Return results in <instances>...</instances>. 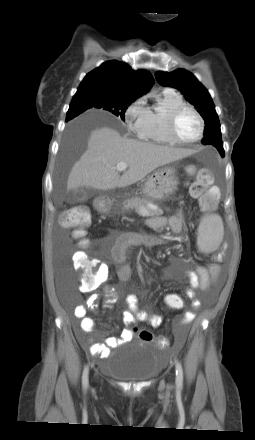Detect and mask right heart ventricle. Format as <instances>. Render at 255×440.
<instances>
[{
    "label": "right heart ventricle",
    "mask_w": 255,
    "mask_h": 440,
    "mask_svg": "<svg viewBox=\"0 0 255 440\" xmlns=\"http://www.w3.org/2000/svg\"><path fill=\"white\" fill-rule=\"evenodd\" d=\"M184 104L185 101L179 93L164 89L158 99V107L155 110L149 109L146 128L140 138L156 144H174L167 133V116L170 111Z\"/></svg>",
    "instance_id": "e07e8e85"
}]
</instances>
